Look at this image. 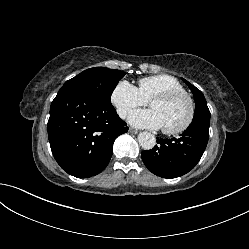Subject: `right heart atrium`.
I'll list each match as a JSON object with an SVG mask.
<instances>
[{"label": "right heart atrium", "instance_id": "1", "mask_svg": "<svg viewBox=\"0 0 249 249\" xmlns=\"http://www.w3.org/2000/svg\"><path fill=\"white\" fill-rule=\"evenodd\" d=\"M110 100L121 118H126L133 108L146 104L138 89L125 80L119 81L115 85Z\"/></svg>", "mask_w": 249, "mask_h": 249}]
</instances>
